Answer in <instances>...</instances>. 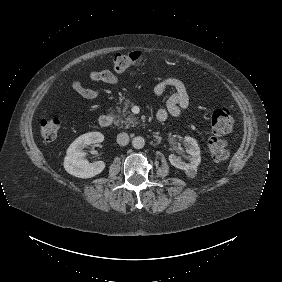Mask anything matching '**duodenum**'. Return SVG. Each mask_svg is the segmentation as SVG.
<instances>
[{
  "mask_svg": "<svg viewBox=\"0 0 282 282\" xmlns=\"http://www.w3.org/2000/svg\"><path fill=\"white\" fill-rule=\"evenodd\" d=\"M113 122V117L110 114H103L99 119V124L103 128H108Z\"/></svg>",
  "mask_w": 282,
  "mask_h": 282,
  "instance_id": "410a0bca",
  "label": "duodenum"
}]
</instances>
